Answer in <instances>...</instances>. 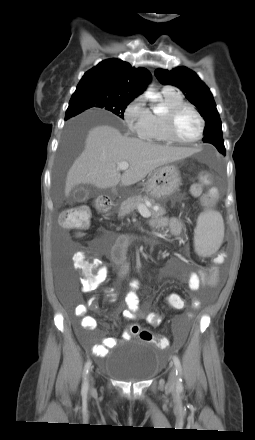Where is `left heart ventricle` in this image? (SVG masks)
I'll return each instance as SVG.
<instances>
[{"instance_id": "1", "label": "left heart ventricle", "mask_w": 255, "mask_h": 440, "mask_svg": "<svg viewBox=\"0 0 255 440\" xmlns=\"http://www.w3.org/2000/svg\"><path fill=\"white\" fill-rule=\"evenodd\" d=\"M199 120L191 110L181 112L175 122L176 135L182 140H191L199 132Z\"/></svg>"}]
</instances>
